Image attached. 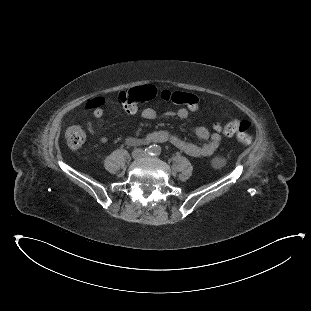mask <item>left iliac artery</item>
Here are the masks:
<instances>
[{"label":"left iliac artery","instance_id":"obj_1","mask_svg":"<svg viewBox=\"0 0 311 311\" xmlns=\"http://www.w3.org/2000/svg\"><path fill=\"white\" fill-rule=\"evenodd\" d=\"M160 154H161V148L159 146H155L153 155L159 156Z\"/></svg>","mask_w":311,"mask_h":311}]
</instances>
